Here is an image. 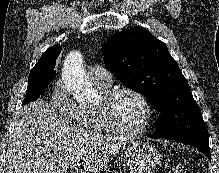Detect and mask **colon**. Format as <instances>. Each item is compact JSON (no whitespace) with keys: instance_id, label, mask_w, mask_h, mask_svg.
Wrapping results in <instances>:
<instances>
[{"instance_id":"5ec220e1","label":"colon","mask_w":219,"mask_h":173,"mask_svg":"<svg viewBox=\"0 0 219 173\" xmlns=\"http://www.w3.org/2000/svg\"><path fill=\"white\" fill-rule=\"evenodd\" d=\"M172 173H189V171L182 165H176L173 168Z\"/></svg>"}]
</instances>
